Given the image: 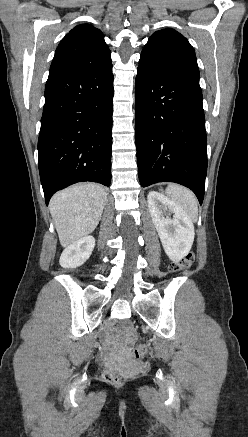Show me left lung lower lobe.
<instances>
[{
    "label": "left lung lower lobe",
    "instance_id": "left-lung-lower-lobe-1",
    "mask_svg": "<svg viewBox=\"0 0 248 437\" xmlns=\"http://www.w3.org/2000/svg\"><path fill=\"white\" fill-rule=\"evenodd\" d=\"M135 132L141 186L175 182L202 204L207 137L200 86L138 68Z\"/></svg>",
    "mask_w": 248,
    "mask_h": 437
}]
</instances>
